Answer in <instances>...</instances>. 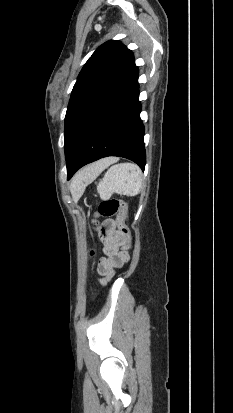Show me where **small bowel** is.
I'll return each mask as SVG.
<instances>
[{
  "label": "small bowel",
  "mask_w": 233,
  "mask_h": 413,
  "mask_svg": "<svg viewBox=\"0 0 233 413\" xmlns=\"http://www.w3.org/2000/svg\"><path fill=\"white\" fill-rule=\"evenodd\" d=\"M104 226L105 230L101 232V240L105 257L100 259L97 270L103 277L102 282L105 283L112 278L115 268L123 266L129 255L127 242L116 230L115 222L108 220Z\"/></svg>",
  "instance_id": "1"
}]
</instances>
